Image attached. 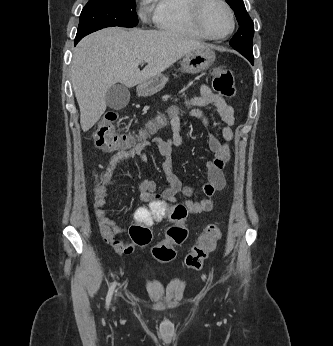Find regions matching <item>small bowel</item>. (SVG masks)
<instances>
[{"label":"small bowel","mask_w":333,"mask_h":346,"mask_svg":"<svg viewBox=\"0 0 333 346\" xmlns=\"http://www.w3.org/2000/svg\"><path fill=\"white\" fill-rule=\"evenodd\" d=\"M186 105L191 108L189 117L200 119L206 125H208V120L201 110L203 107L215 108L223 122V125L218 131L209 132L208 144L213 158L206 164L207 181L201 188L206 197L199 200H192L191 198L196 193V189L182 185L181 181L171 170L169 157L172 147L181 146L183 143L180 133L183 121L178 112L179 107L171 118L172 136L167 140L160 137L144 140L127 151L113 155L102 177V191H95L93 208L96 220L100 233L104 241L110 244L113 254H134L137 248L133 235L125 236V239H116L117 235L125 232V229L120 227L108 215L105 209V205L109 199L107 186L113 183L114 172L123 160L138 158L142 162H149V156L144 151L146 147L155 148L162 156L167 158L163 164L167 185L161 192H156L157 186L153 181L141 180L138 182L137 186L141 191L140 199L143 203H148L156 199H161L168 203H176L178 201L177 194L182 193L186 199L180 205L186 209L187 214H201L213 209L215 203L214 195L225 187L224 167L230 155V146L225 144V142L232 141L234 137L232 130V126L234 125L233 108L222 97L215 94L206 84L201 86L200 95L188 99Z\"/></svg>","instance_id":"c3829d8e"}]
</instances>
